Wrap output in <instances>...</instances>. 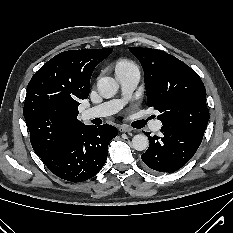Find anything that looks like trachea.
<instances>
[{
    "instance_id": "1",
    "label": "trachea",
    "mask_w": 233,
    "mask_h": 233,
    "mask_svg": "<svg viewBox=\"0 0 233 233\" xmlns=\"http://www.w3.org/2000/svg\"><path fill=\"white\" fill-rule=\"evenodd\" d=\"M146 123H147V120H141V121H139L140 127L145 126Z\"/></svg>"
}]
</instances>
